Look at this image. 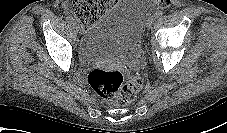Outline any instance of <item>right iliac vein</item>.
Instances as JSON below:
<instances>
[{"mask_svg": "<svg viewBox=\"0 0 227 133\" xmlns=\"http://www.w3.org/2000/svg\"><path fill=\"white\" fill-rule=\"evenodd\" d=\"M73 24H74V27H75L76 31L80 32V26L78 25V23L74 22Z\"/></svg>", "mask_w": 227, "mask_h": 133, "instance_id": "63e3f726", "label": "right iliac vein"}]
</instances>
